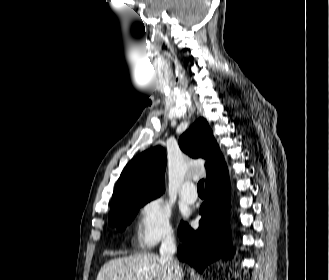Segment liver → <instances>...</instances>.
<instances>
[{
  "mask_svg": "<svg viewBox=\"0 0 329 280\" xmlns=\"http://www.w3.org/2000/svg\"><path fill=\"white\" fill-rule=\"evenodd\" d=\"M96 280H173L170 267L158 255L134 254L105 263Z\"/></svg>",
  "mask_w": 329,
  "mask_h": 280,
  "instance_id": "liver-1",
  "label": "liver"
}]
</instances>
